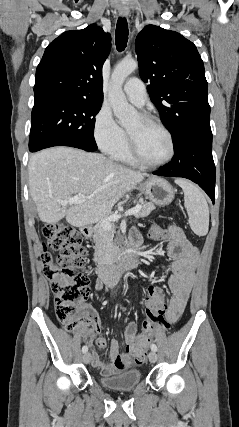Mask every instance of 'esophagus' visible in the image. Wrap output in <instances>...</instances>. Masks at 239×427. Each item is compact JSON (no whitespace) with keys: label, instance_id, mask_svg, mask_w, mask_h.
<instances>
[{"label":"esophagus","instance_id":"1","mask_svg":"<svg viewBox=\"0 0 239 427\" xmlns=\"http://www.w3.org/2000/svg\"><path fill=\"white\" fill-rule=\"evenodd\" d=\"M120 16H121V17H123V18H125V17H127V16H128V13H126V12H121V13H120Z\"/></svg>","mask_w":239,"mask_h":427}]
</instances>
